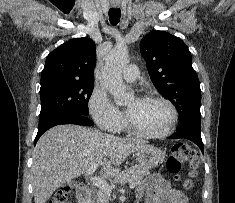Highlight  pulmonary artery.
Returning <instances> with one entry per match:
<instances>
[{"label": "pulmonary artery", "instance_id": "pulmonary-artery-1", "mask_svg": "<svg viewBox=\"0 0 235 203\" xmlns=\"http://www.w3.org/2000/svg\"><path fill=\"white\" fill-rule=\"evenodd\" d=\"M122 76L127 82H135L139 76L137 66L134 64L126 66L122 72Z\"/></svg>", "mask_w": 235, "mask_h": 203}]
</instances>
